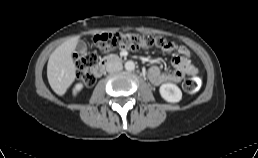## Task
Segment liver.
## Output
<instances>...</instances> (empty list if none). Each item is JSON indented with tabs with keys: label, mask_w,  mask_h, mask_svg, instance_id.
<instances>
[{
	"label": "liver",
	"mask_w": 258,
	"mask_h": 158,
	"mask_svg": "<svg viewBox=\"0 0 258 158\" xmlns=\"http://www.w3.org/2000/svg\"><path fill=\"white\" fill-rule=\"evenodd\" d=\"M79 36L72 37L58 46L50 55L47 64V78L52 90L65 94L76 78V67L72 58Z\"/></svg>",
	"instance_id": "liver-1"
}]
</instances>
